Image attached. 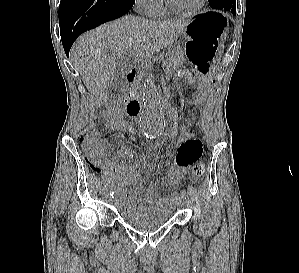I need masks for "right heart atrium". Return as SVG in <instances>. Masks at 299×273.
Instances as JSON below:
<instances>
[{"label":"right heart atrium","instance_id":"d8ad5b80","mask_svg":"<svg viewBox=\"0 0 299 273\" xmlns=\"http://www.w3.org/2000/svg\"><path fill=\"white\" fill-rule=\"evenodd\" d=\"M136 6L143 12L150 13L154 8H156L161 0H134Z\"/></svg>","mask_w":299,"mask_h":273}]
</instances>
